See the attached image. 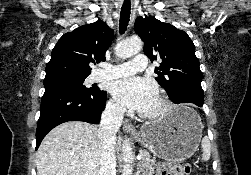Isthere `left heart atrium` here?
I'll use <instances>...</instances> for the list:
<instances>
[{
  "label": "left heart atrium",
  "mask_w": 251,
  "mask_h": 175,
  "mask_svg": "<svg viewBox=\"0 0 251 175\" xmlns=\"http://www.w3.org/2000/svg\"><path fill=\"white\" fill-rule=\"evenodd\" d=\"M112 94L122 107L140 113L153 111L158 103L156 84L140 76H129L115 81L112 85Z\"/></svg>",
  "instance_id": "1"
}]
</instances>
